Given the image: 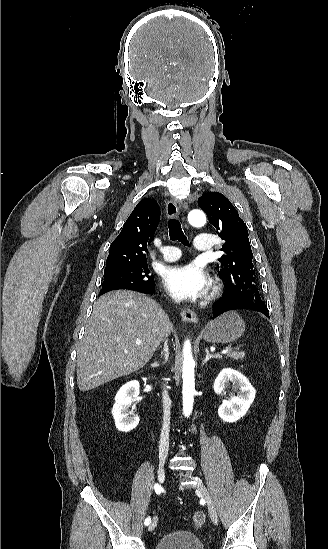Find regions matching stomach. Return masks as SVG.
<instances>
[{
  "mask_svg": "<svg viewBox=\"0 0 328 549\" xmlns=\"http://www.w3.org/2000/svg\"><path fill=\"white\" fill-rule=\"evenodd\" d=\"M245 323L236 311H227L214 321H210L204 333L207 343H232L242 337Z\"/></svg>",
  "mask_w": 328,
  "mask_h": 549,
  "instance_id": "obj_1",
  "label": "stomach"
}]
</instances>
